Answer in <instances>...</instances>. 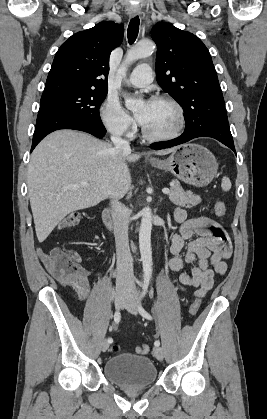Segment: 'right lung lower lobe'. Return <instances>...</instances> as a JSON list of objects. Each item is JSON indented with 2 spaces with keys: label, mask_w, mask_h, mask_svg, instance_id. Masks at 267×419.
Masks as SVG:
<instances>
[{
  "label": "right lung lower lobe",
  "mask_w": 267,
  "mask_h": 419,
  "mask_svg": "<svg viewBox=\"0 0 267 419\" xmlns=\"http://www.w3.org/2000/svg\"><path fill=\"white\" fill-rule=\"evenodd\" d=\"M60 129H74L90 133L98 138L104 137L106 129L101 123L84 121L55 106H40L33 136L31 151L49 133Z\"/></svg>",
  "instance_id": "1"
}]
</instances>
